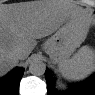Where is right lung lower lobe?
Returning a JSON list of instances; mask_svg holds the SVG:
<instances>
[{
  "label": "right lung lower lobe",
  "instance_id": "1",
  "mask_svg": "<svg viewBox=\"0 0 95 95\" xmlns=\"http://www.w3.org/2000/svg\"><path fill=\"white\" fill-rule=\"evenodd\" d=\"M23 75L22 68H15L5 79L2 81V86L7 90L15 93L19 89V83Z\"/></svg>",
  "mask_w": 95,
  "mask_h": 95
}]
</instances>
